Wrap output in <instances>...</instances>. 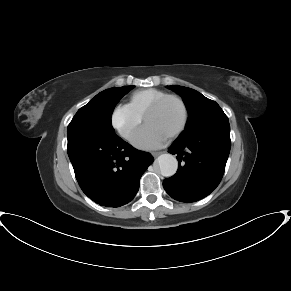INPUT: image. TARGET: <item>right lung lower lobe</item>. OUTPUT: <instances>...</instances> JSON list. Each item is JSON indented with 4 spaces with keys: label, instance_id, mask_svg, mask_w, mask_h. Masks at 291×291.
I'll return each instance as SVG.
<instances>
[{
    "label": "right lung lower lobe",
    "instance_id": "obj_1",
    "mask_svg": "<svg viewBox=\"0 0 291 291\" xmlns=\"http://www.w3.org/2000/svg\"><path fill=\"white\" fill-rule=\"evenodd\" d=\"M68 156L82 191L101 206L119 207L139 190V180L153 157L117 135H67Z\"/></svg>",
    "mask_w": 291,
    "mask_h": 291
}]
</instances>
